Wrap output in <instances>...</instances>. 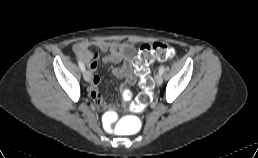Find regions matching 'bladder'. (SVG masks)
I'll list each match as a JSON object with an SVG mask.
<instances>
[{
  "instance_id": "1",
  "label": "bladder",
  "mask_w": 258,
  "mask_h": 158,
  "mask_svg": "<svg viewBox=\"0 0 258 158\" xmlns=\"http://www.w3.org/2000/svg\"><path fill=\"white\" fill-rule=\"evenodd\" d=\"M131 53H132V49H131L130 51H127L125 55H126L127 57H129V56L131 55Z\"/></svg>"
}]
</instances>
